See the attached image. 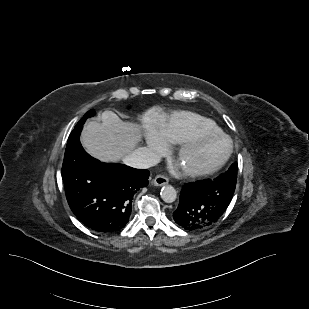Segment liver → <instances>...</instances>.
<instances>
[{
  "label": "liver",
  "instance_id": "1",
  "mask_svg": "<svg viewBox=\"0 0 309 309\" xmlns=\"http://www.w3.org/2000/svg\"><path fill=\"white\" fill-rule=\"evenodd\" d=\"M100 120L88 122L81 136L82 145L93 157L103 162H117L141 141L138 124L124 122L112 111H104Z\"/></svg>",
  "mask_w": 309,
  "mask_h": 309
}]
</instances>
